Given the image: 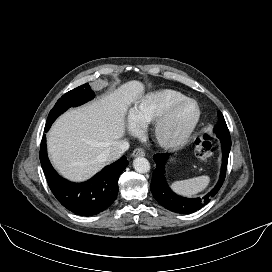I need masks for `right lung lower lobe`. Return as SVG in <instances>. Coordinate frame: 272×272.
<instances>
[{
  "label": "right lung lower lobe",
  "mask_w": 272,
  "mask_h": 272,
  "mask_svg": "<svg viewBox=\"0 0 272 272\" xmlns=\"http://www.w3.org/2000/svg\"><path fill=\"white\" fill-rule=\"evenodd\" d=\"M49 128L45 127V131H48ZM40 161L49 187L56 199L66 209L82 216L96 215L115 201L119 175L128 165L126 157L123 156L115 163L106 166L87 182H69L60 177L51 166L47 156L45 135L40 146Z\"/></svg>",
  "instance_id": "right-lung-lower-lobe-1"
}]
</instances>
